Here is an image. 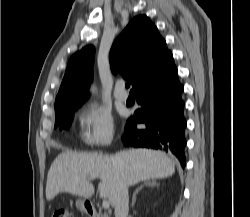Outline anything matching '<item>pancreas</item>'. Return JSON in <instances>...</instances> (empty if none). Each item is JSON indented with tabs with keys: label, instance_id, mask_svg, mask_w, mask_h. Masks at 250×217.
Returning <instances> with one entry per match:
<instances>
[{
	"label": "pancreas",
	"instance_id": "obj_1",
	"mask_svg": "<svg viewBox=\"0 0 250 217\" xmlns=\"http://www.w3.org/2000/svg\"><path fill=\"white\" fill-rule=\"evenodd\" d=\"M98 217H108V216H107V215L101 214V215H99Z\"/></svg>",
	"mask_w": 250,
	"mask_h": 217
}]
</instances>
